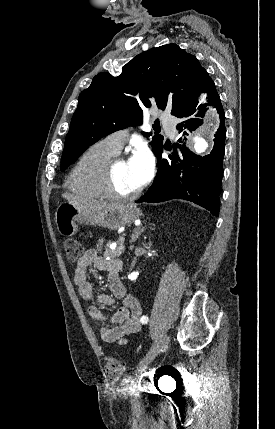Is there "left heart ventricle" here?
<instances>
[{
  "mask_svg": "<svg viewBox=\"0 0 275 429\" xmlns=\"http://www.w3.org/2000/svg\"><path fill=\"white\" fill-rule=\"evenodd\" d=\"M114 183L118 192L122 194L133 193L139 188L134 181L128 161H121L115 164Z\"/></svg>",
  "mask_w": 275,
  "mask_h": 429,
  "instance_id": "b2bd125f",
  "label": "left heart ventricle"
}]
</instances>
